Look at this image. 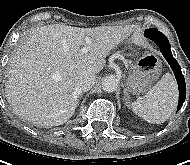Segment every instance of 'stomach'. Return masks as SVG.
<instances>
[{
  "label": "stomach",
  "instance_id": "obj_1",
  "mask_svg": "<svg viewBox=\"0 0 190 165\" xmlns=\"http://www.w3.org/2000/svg\"><path fill=\"white\" fill-rule=\"evenodd\" d=\"M161 73V62L153 54H141L132 64L126 82L128 91L133 95L147 92Z\"/></svg>",
  "mask_w": 190,
  "mask_h": 165
}]
</instances>
